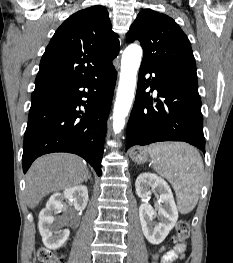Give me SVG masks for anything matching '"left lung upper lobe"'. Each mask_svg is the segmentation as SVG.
<instances>
[{
	"label": "left lung upper lobe",
	"mask_w": 233,
	"mask_h": 263,
	"mask_svg": "<svg viewBox=\"0 0 233 263\" xmlns=\"http://www.w3.org/2000/svg\"><path fill=\"white\" fill-rule=\"evenodd\" d=\"M127 40H139L142 63L180 74L196 76L191 44L179 25L165 14L142 10L127 33Z\"/></svg>",
	"instance_id": "obj_1"
}]
</instances>
